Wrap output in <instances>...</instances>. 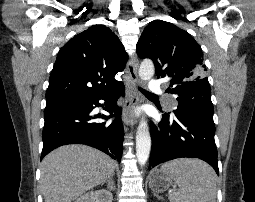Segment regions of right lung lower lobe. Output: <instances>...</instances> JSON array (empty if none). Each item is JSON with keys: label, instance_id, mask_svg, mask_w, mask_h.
<instances>
[{"label": "right lung lower lobe", "instance_id": "1", "mask_svg": "<svg viewBox=\"0 0 255 202\" xmlns=\"http://www.w3.org/2000/svg\"><path fill=\"white\" fill-rule=\"evenodd\" d=\"M122 95L123 83L99 95L46 107L41 159L59 146L79 143L95 147L120 162L124 131L121 108L117 106L116 101ZM100 100L105 101L104 109L115 116L113 122L92 121L98 117L91 114L92 110L103 106L99 103ZM100 117L109 119L111 116Z\"/></svg>", "mask_w": 255, "mask_h": 202}]
</instances>
